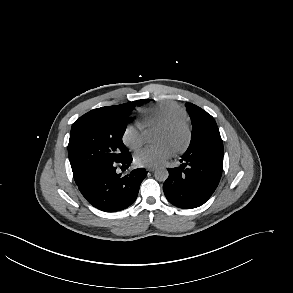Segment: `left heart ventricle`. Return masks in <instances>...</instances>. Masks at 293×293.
Masks as SVG:
<instances>
[{
    "instance_id": "obj_1",
    "label": "left heart ventricle",
    "mask_w": 293,
    "mask_h": 293,
    "mask_svg": "<svg viewBox=\"0 0 293 293\" xmlns=\"http://www.w3.org/2000/svg\"><path fill=\"white\" fill-rule=\"evenodd\" d=\"M185 139V133L182 130L176 131L174 133L165 132L159 130L157 135V142H166L172 146L173 149L180 146Z\"/></svg>"
}]
</instances>
